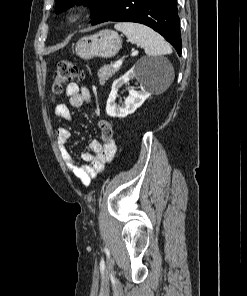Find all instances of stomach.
Listing matches in <instances>:
<instances>
[{"label": "stomach", "mask_w": 247, "mask_h": 296, "mask_svg": "<svg viewBox=\"0 0 247 296\" xmlns=\"http://www.w3.org/2000/svg\"><path fill=\"white\" fill-rule=\"evenodd\" d=\"M121 47L120 36L112 30L105 29L80 38L76 43L75 52L84 60L94 57L111 58L119 52Z\"/></svg>", "instance_id": "1"}]
</instances>
